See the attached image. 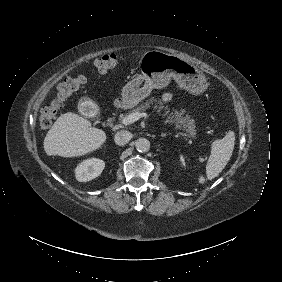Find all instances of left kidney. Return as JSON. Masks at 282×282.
<instances>
[{
  "instance_id": "5707ae66",
  "label": "left kidney",
  "mask_w": 282,
  "mask_h": 282,
  "mask_svg": "<svg viewBox=\"0 0 282 282\" xmlns=\"http://www.w3.org/2000/svg\"><path fill=\"white\" fill-rule=\"evenodd\" d=\"M182 165H183V166H186L187 163H186L185 161H182Z\"/></svg>"
}]
</instances>
